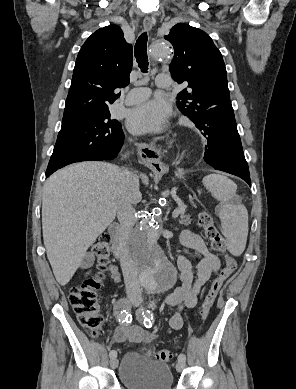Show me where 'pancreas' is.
I'll return each mask as SVG.
<instances>
[{"label": "pancreas", "mask_w": 296, "mask_h": 389, "mask_svg": "<svg viewBox=\"0 0 296 389\" xmlns=\"http://www.w3.org/2000/svg\"><path fill=\"white\" fill-rule=\"evenodd\" d=\"M191 217L189 214H185V213H181L180 216H179V223L181 225H184V226H187L189 224H191Z\"/></svg>", "instance_id": "obj_1"}]
</instances>
